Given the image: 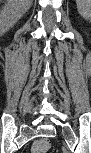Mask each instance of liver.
Returning <instances> with one entry per match:
<instances>
[{
    "instance_id": "obj_1",
    "label": "liver",
    "mask_w": 91,
    "mask_h": 153,
    "mask_svg": "<svg viewBox=\"0 0 91 153\" xmlns=\"http://www.w3.org/2000/svg\"><path fill=\"white\" fill-rule=\"evenodd\" d=\"M22 3L26 4V5H28L30 7L32 2H31V0H22Z\"/></svg>"
}]
</instances>
